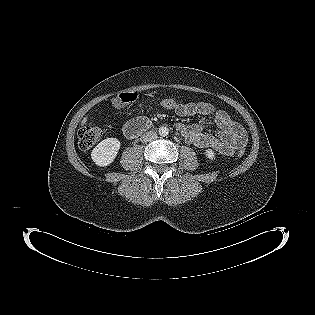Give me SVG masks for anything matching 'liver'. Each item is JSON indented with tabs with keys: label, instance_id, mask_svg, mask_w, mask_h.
I'll return each instance as SVG.
<instances>
[{
	"label": "liver",
	"instance_id": "6515ba94",
	"mask_svg": "<svg viewBox=\"0 0 315 315\" xmlns=\"http://www.w3.org/2000/svg\"><path fill=\"white\" fill-rule=\"evenodd\" d=\"M86 121H87V118H84V119L82 120V125H84V124L86 123Z\"/></svg>",
	"mask_w": 315,
	"mask_h": 315
}]
</instances>
